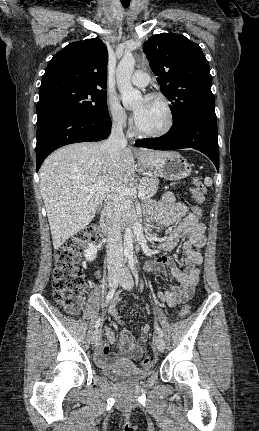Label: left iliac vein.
<instances>
[{
    "label": "left iliac vein",
    "instance_id": "obj_1",
    "mask_svg": "<svg viewBox=\"0 0 259 431\" xmlns=\"http://www.w3.org/2000/svg\"><path fill=\"white\" fill-rule=\"evenodd\" d=\"M119 282L120 285L126 290H130L133 287V279L129 269L126 266H123L121 269ZM155 345L158 351L163 352L165 350V341L162 336L157 335L155 337Z\"/></svg>",
    "mask_w": 259,
    "mask_h": 431
}]
</instances>
